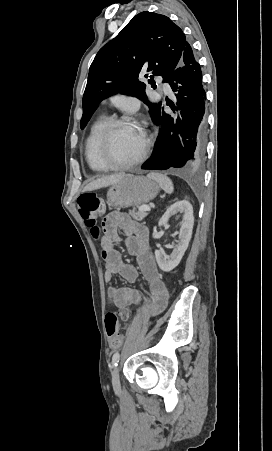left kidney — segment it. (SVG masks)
Masks as SVG:
<instances>
[{
  "label": "left kidney",
  "mask_w": 272,
  "mask_h": 451,
  "mask_svg": "<svg viewBox=\"0 0 272 451\" xmlns=\"http://www.w3.org/2000/svg\"><path fill=\"white\" fill-rule=\"evenodd\" d=\"M184 214V222L180 227L179 241L174 245V249L170 255L162 253L161 249H155L156 261L163 271H171L178 263H180L191 239L192 229L194 226L193 208L188 200H182V202H175L172 204L162 218L158 222V226H165L168 224L169 218L175 216V214Z\"/></svg>",
  "instance_id": "left-kidney-1"
}]
</instances>
